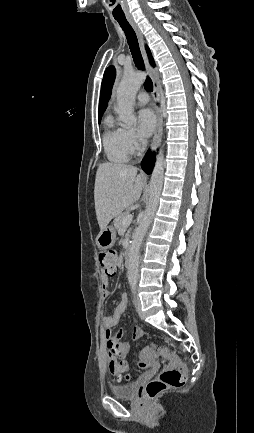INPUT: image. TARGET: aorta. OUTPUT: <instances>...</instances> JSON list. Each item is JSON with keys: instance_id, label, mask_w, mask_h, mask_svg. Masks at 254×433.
<instances>
[{"instance_id": "762f6f07", "label": "aorta", "mask_w": 254, "mask_h": 433, "mask_svg": "<svg viewBox=\"0 0 254 433\" xmlns=\"http://www.w3.org/2000/svg\"><path fill=\"white\" fill-rule=\"evenodd\" d=\"M145 80L142 72H126L117 88V112L119 119L128 126L136 123L133 105L135 95ZM164 178V156L160 149L152 172L149 200L144 216L132 236V243L128 255V280L136 282L139 276V249L143 237L156 212Z\"/></svg>"}]
</instances>
